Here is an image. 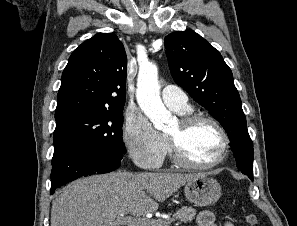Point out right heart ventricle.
Here are the masks:
<instances>
[{
	"instance_id": "obj_1",
	"label": "right heart ventricle",
	"mask_w": 297,
	"mask_h": 226,
	"mask_svg": "<svg viewBox=\"0 0 297 226\" xmlns=\"http://www.w3.org/2000/svg\"><path fill=\"white\" fill-rule=\"evenodd\" d=\"M173 110V109H172ZM174 112L180 114V115H188L192 112L191 108H188L186 110H182V111H177V110H173Z\"/></svg>"
}]
</instances>
